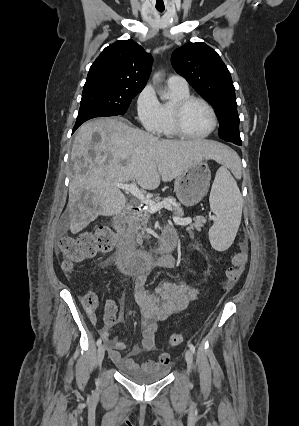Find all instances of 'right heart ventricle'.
<instances>
[{
	"label": "right heart ventricle",
	"instance_id": "1",
	"mask_svg": "<svg viewBox=\"0 0 299 426\" xmlns=\"http://www.w3.org/2000/svg\"><path fill=\"white\" fill-rule=\"evenodd\" d=\"M169 89L172 93L173 99L171 101L164 102L161 104L162 126H161L160 133L168 137H174L177 135V133L174 129L173 122H172V108L174 103L177 100L189 96V90L178 89L171 86H169Z\"/></svg>",
	"mask_w": 299,
	"mask_h": 426
}]
</instances>
